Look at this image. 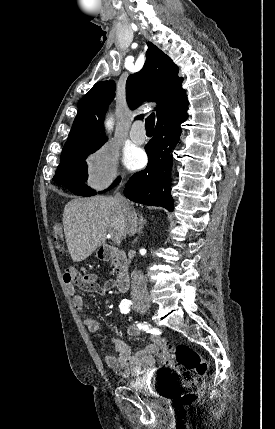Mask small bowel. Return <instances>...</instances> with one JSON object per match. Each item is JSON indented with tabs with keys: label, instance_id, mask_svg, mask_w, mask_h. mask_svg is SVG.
Masks as SVG:
<instances>
[{
	"label": "small bowel",
	"instance_id": "small-bowel-1",
	"mask_svg": "<svg viewBox=\"0 0 275 429\" xmlns=\"http://www.w3.org/2000/svg\"><path fill=\"white\" fill-rule=\"evenodd\" d=\"M70 277H64L67 292L72 297L74 307L82 311L84 309V301L80 294L77 293L76 287L84 291L94 292L98 294L107 293L113 286L114 281L109 279L100 283L95 274L87 273L80 274L75 268L69 267ZM84 324L91 332H97L100 329V322L94 317H86ZM141 333L138 327H129L127 334L131 337H136ZM162 338L152 335L150 343L142 350L132 354L129 345L118 337H112L111 342L113 349L117 355L107 354L105 357L106 364L117 374L123 377H136L143 372H150L156 369L157 350Z\"/></svg>",
	"mask_w": 275,
	"mask_h": 429
}]
</instances>
